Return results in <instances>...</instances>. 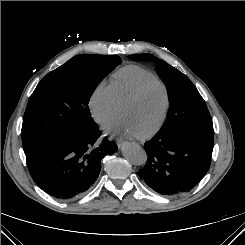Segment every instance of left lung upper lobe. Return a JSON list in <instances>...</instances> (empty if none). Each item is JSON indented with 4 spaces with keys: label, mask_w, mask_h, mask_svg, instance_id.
I'll return each mask as SVG.
<instances>
[{
    "label": "left lung upper lobe",
    "mask_w": 245,
    "mask_h": 245,
    "mask_svg": "<svg viewBox=\"0 0 245 245\" xmlns=\"http://www.w3.org/2000/svg\"><path fill=\"white\" fill-rule=\"evenodd\" d=\"M132 60L152 61L168 90L169 110L159 132H169L180 125H191L214 133L206 103L186 75L152 54H133Z\"/></svg>",
    "instance_id": "1"
}]
</instances>
